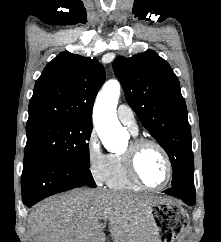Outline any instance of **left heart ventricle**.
I'll return each instance as SVG.
<instances>
[{"instance_id": "1", "label": "left heart ventricle", "mask_w": 221, "mask_h": 242, "mask_svg": "<svg viewBox=\"0 0 221 242\" xmlns=\"http://www.w3.org/2000/svg\"><path fill=\"white\" fill-rule=\"evenodd\" d=\"M137 168L143 181L150 186L161 185L166 179L165 159L154 146L148 145L140 151L137 159Z\"/></svg>"}]
</instances>
